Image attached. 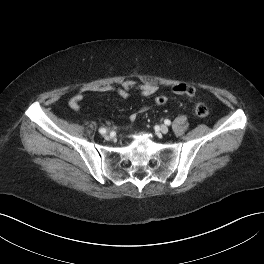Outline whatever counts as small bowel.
I'll use <instances>...</instances> for the list:
<instances>
[{
	"mask_svg": "<svg viewBox=\"0 0 264 264\" xmlns=\"http://www.w3.org/2000/svg\"><path fill=\"white\" fill-rule=\"evenodd\" d=\"M186 85L179 83L171 87V91L174 94L181 95L185 93ZM159 90L158 85L154 83H144L137 84L133 80H125L119 86L113 84H106L98 87L82 88L80 89L69 101V106L72 110H79L81 107V102L84 99V93L86 92H116L123 98L130 97L133 93H137L141 96H152ZM149 109V106H144L141 108L140 113H143ZM135 116L131 117L134 120Z\"/></svg>",
	"mask_w": 264,
	"mask_h": 264,
	"instance_id": "1",
	"label": "small bowel"
}]
</instances>
